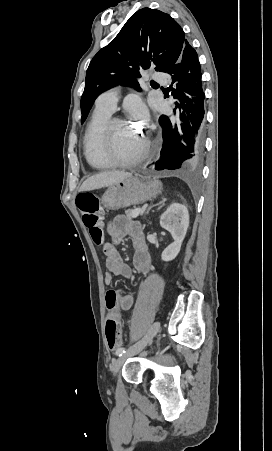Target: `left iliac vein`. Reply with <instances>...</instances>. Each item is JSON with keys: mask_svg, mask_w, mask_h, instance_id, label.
Returning <instances> with one entry per match:
<instances>
[{"mask_svg": "<svg viewBox=\"0 0 272 451\" xmlns=\"http://www.w3.org/2000/svg\"><path fill=\"white\" fill-rule=\"evenodd\" d=\"M160 330V323L158 321L154 322L149 330L147 331L145 337L140 341L139 344L135 345L134 347L130 348L127 352H125L122 356H120L111 367V370L116 374L121 369L123 363L125 360L135 354H137L139 351H141L145 346L150 344L153 340V338L157 335V333Z\"/></svg>", "mask_w": 272, "mask_h": 451, "instance_id": "4c4485c4", "label": "left iliac vein"}]
</instances>
